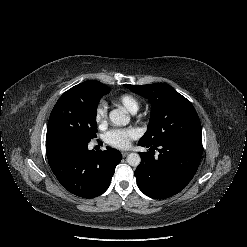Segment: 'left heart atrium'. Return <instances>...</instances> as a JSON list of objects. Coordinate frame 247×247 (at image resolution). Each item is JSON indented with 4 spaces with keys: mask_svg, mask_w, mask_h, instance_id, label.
I'll return each mask as SVG.
<instances>
[{
    "mask_svg": "<svg viewBox=\"0 0 247 247\" xmlns=\"http://www.w3.org/2000/svg\"><path fill=\"white\" fill-rule=\"evenodd\" d=\"M137 132L132 129H112L106 134V141L117 148H127L130 145V142L135 139Z\"/></svg>",
    "mask_w": 247,
    "mask_h": 247,
    "instance_id": "left-heart-atrium-1",
    "label": "left heart atrium"
}]
</instances>
